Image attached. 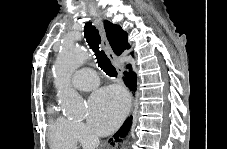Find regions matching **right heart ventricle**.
I'll use <instances>...</instances> for the list:
<instances>
[{
	"label": "right heart ventricle",
	"instance_id": "1",
	"mask_svg": "<svg viewBox=\"0 0 227 149\" xmlns=\"http://www.w3.org/2000/svg\"><path fill=\"white\" fill-rule=\"evenodd\" d=\"M47 111L50 144L59 148H74L76 146V138L73 132V122L59 114L53 105H50Z\"/></svg>",
	"mask_w": 227,
	"mask_h": 149
}]
</instances>
